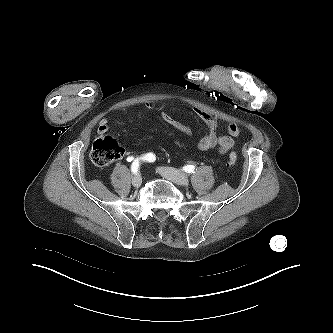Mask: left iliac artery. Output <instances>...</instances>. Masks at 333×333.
Returning <instances> with one entry per match:
<instances>
[{"mask_svg": "<svg viewBox=\"0 0 333 333\" xmlns=\"http://www.w3.org/2000/svg\"><path fill=\"white\" fill-rule=\"evenodd\" d=\"M183 170L187 173H193L195 170V166L194 165H187L183 167Z\"/></svg>", "mask_w": 333, "mask_h": 333, "instance_id": "left-iliac-artery-1", "label": "left iliac artery"}]
</instances>
